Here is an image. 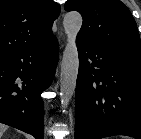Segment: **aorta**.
Instances as JSON below:
<instances>
[{
    "mask_svg": "<svg viewBox=\"0 0 141 139\" xmlns=\"http://www.w3.org/2000/svg\"><path fill=\"white\" fill-rule=\"evenodd\" d=\"M63 26L67 43L61 62L60 98L62 108H66L76 89L79 69V57L76 38L82 26V16L78 12H69L64 16Z\"/></svg>",
    "mask_w": 141,
    "mask_h": 139,
    "instance_id": "762f6f07",
    "label": "aorta"
}]
</instances>
